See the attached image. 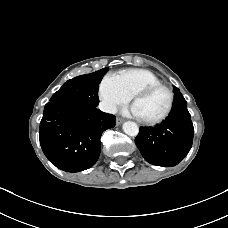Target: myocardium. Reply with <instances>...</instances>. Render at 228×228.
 <instances>
[{"label":"myocardium","instance_id":"1","mask_svg":"<svg viewBox=\"0 0 228 228\" xmlns=\"http://www.w3.org/2000/svg\"><path fill=\"white\" fill-rule=\"evenodd\" d=\"M158 89H165L168 92V94H169L168 106H167L166 110L160 116H158L156 118H153V119L140 118L144 124L156 125L158 123H161L169 116V114L172 111V108L174 105V93L170 87H168L162 83L147 85V86L141 88L140 90H138L132 97L133 103H135L138 99L143 98Z\"/></svg>","mask_w":228,"mask_h":228}]
</instances>
